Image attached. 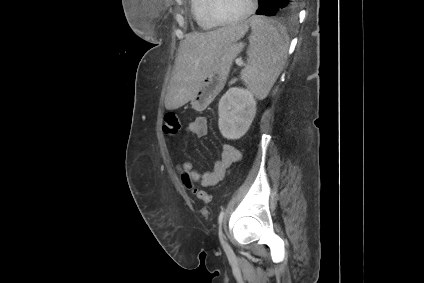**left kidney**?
Returning a JSON list of instances; mask_svg holds the SVG:
<instances>
[{
    "mask_svg": "<svg viewBox=\"0 0 424 283\" xmlns=\"http://www.w3.org/2000/svg\"><path fill=\"white\" fill-rule=\"evenodd\" d=\"M254 92L233 87L220 99L218 126L222 136L228 140L241 138L249 130L256 114Z\"/></svg>",
    "mask_w": 424,
    "mask_h": 283,
    "instance_id": "left-kidney-1",
    "label": "left kidney"
}]
</instances>
